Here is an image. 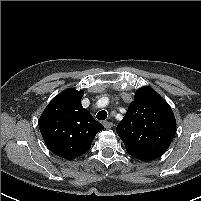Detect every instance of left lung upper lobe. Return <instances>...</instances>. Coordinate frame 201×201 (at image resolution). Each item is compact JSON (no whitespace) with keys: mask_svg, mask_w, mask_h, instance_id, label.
Wrapping results in <instances>:
<instances>
[{"mask_svg":"<svg viewBox=\"0 0 201 201\" xmlns=\"http://www.w3.org/2000/svg\"><path fill=\"white\" fill-rule=\"evenodd\" d=\"M176 133V120L168 103L150 87L138 89L117 134L126 151L136 159L150 161L163 155Z\"/></svg>","mask_w":201,"mask_h":201,"instance_id":"left-lung-upper-lobe-1","label":"left lung upper lobe"}]
</instances>
